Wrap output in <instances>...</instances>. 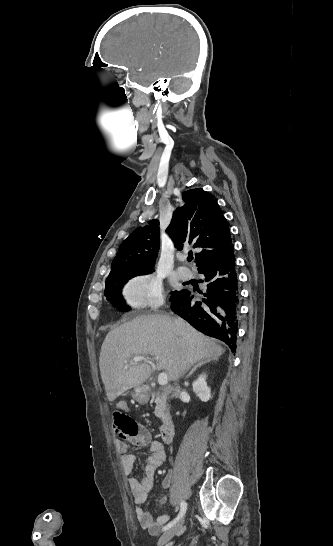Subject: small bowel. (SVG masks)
Returning a JSON list of instances; mask_svg holds the SVG:
<instances>
[{
  "mask_svg": "<svg viewBox=\"0 0 333 546\" xmlns=\"http://www.w3.org/2000/svg\"><path fill=\"white\" fill-rule=\"evenodd\" d=\"M119 411L128 412V406L125 401L120 402ZM135 425V432L125 441H118L116 446L120 453V460L124 472L131 475L134 468L135 458L128 452L130 442L138 446H148L150 455L148 456L145 467L144 476L139 481L135 478H130L128 483L132 493L133 502L136 505V517L140 525L147 529L150 533H157L159 529L170 519L169 515H160L154 518L149 512L144 511L141 505L146 501L148 493L154 485V475L156 470L164 463L166 454L164 446L161 442L153 440L150 431L143 425L137 424L133 419L128 417ZM169 481L164 482L165 487H169Z\"/></svg>",
  "mask_w": 333,
  "mask_h": 546,
  "instance_id": "obj_1",
  "label": "small bowel"
}]
</instances>
